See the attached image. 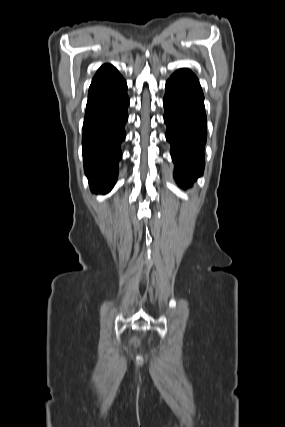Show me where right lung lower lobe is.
Returning <instances> with one entry per match:
<instances>
[{
    "label": "right lung lower lobe",
    "instance_id": "98d812e1",
    "mask_svg": "<svg viewBox=\"0 0 285 427\" xmlns=\"http://www.w3.org/2000/svg\"><path fill=\"white\" fill-rule=\"evenodd\" d=\"M128 105L127 84L116 68L93 78L83 124L82 153L84 171L95 193L109 192L116 182Z\"/></svg>",
    "mask_w": 285,
    "mask_h": 427
}]
</instances>
